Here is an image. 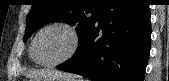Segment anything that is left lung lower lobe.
<instances>
[{
  "label": "left lung lower lobe",
  "mask_w": 169,
  "mask_h": 81,
  "mask_svg": "<svg viewBox=\"0 0 169 81\" xmlns=\"http://www.w3.org/2000/svg\"><path fill=\"white\" fill-rule=\"evenodd\" d=\"M150 36L144 0H107L73 57L56 68L93 81H143Z\"/></svg>",
  "instance_id": "left-lung-lower-lobe-1"
}]
</instances>
